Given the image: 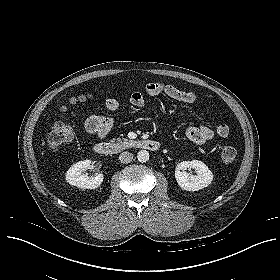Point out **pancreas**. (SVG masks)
I'll return each mask as SVG.
<instances>
[{
  "instance_id": "pancreas-1",
  "label": "pancreas",
  "mask_w": 280,
  "mask_h": 280,
  "mask_svg": "<svg viewBox=\"0 0 280 280\" xmlns=\"http://www.w3.org/2000/svg\"><path fill=\"white\" fill-rule=\"evenodd\" d=\"M117 144H121V145H129L132 143V141H129L127 138H117Z\"/></svg>"
}]
</instances>
